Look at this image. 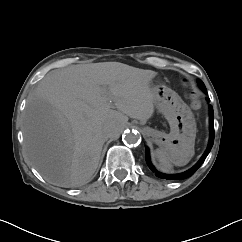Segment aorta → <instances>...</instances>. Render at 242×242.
Listing matches in <instances>:
<instances>
[{
	"mask_svg": "<svg viewBox=\"0 0 242 242\" xmlns=\"http://www.w3.org/2000/svg\"><path fill=\"white\" fill-rule=\"evenodd\" d=\"M122 140L128 145H138L141 141V136L137 132L126 131L122 136Z\"/></svg>",
	"mask_w": 242,
	"mask_h": 242,
	"instance_id": "762f6f07",
	"label": "aorta"
}]
</instances>
